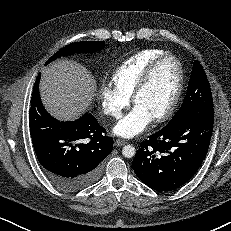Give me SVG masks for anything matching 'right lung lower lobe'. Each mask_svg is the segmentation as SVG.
<instances>
[{"instance_id":"right-lung-lower-lobe-1","label":"right lung lower lobe","mask_w":231,"mask_h":231,"mask_svg":"<svg viewBox=\"0 0 231 231\" xmlns=\"http://www.w3.org/2000/svg\"><path fill=\"white\" fill-rule=\"evenodd\" d=\"M38 75L32 92L29 127L35 154L48 179L64 191H78L101 175L103 160L113 149L94 116L60 122L45 110L39 94Z\"/></svg>"}]
</instances>
